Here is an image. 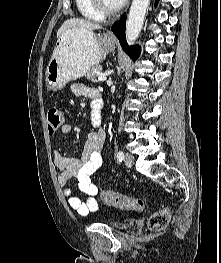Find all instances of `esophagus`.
Listing matches in <instances>:
<instances>
[{
    "label": "esophagus",
    "instance_id": "esophagus-1",
    "mask_svg": "<svg viewBox=\"0 0 221 263\" xmlns=\"http://www.w3.org/2000/svg\"><path fill=\"white\" fill-rule=\"evenodd\" d=\"M109 36H110V37H113V35H112V34H110V33H109Z\"/></svg>",
    "mask_w": 221,
    "mask_h": 263
}]
</instances>
